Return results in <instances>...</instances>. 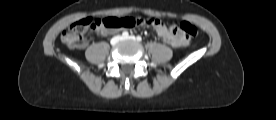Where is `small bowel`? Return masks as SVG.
Segmentation results:
<instances>
[{
    "label": "small bowel",
    "instance_id": "obj_1",
    "mask_svg": "<svg viewBox=\"0 0 276 120\" xmlns=\"http://www.w3.org/2000/svg\"><path fill=\"white\" fill-rule=\"evenodd\" d=\"M156 33L169 45L172 47H183L187 45V40L184 37L175 36L171 34L164 23L159 21L154 25ZM102 34H106L105 30H101ZM88 42L84 40L81 44L78 45V48L83 49L87 46Z\"/></svg>",
    "mask_w": 276,
    "mask_h": 120
}]
</instances>
